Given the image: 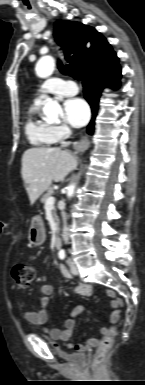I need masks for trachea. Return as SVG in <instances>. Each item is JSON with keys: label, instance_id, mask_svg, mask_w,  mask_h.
Masks as SVG:
<instances>
[{"label": "trachea", "instance_id": "obj_1", "mask_svg": "<svg viewBox=\"0 0 145 385\" xmlns=\"http://www.w3.org/2000/svg\"><path fill=\"white\" fill-rule=\"evenodd\" d=\"M68 74L73 77L74 79L76 80H80V76L78 74V71L73 67V66H70V65H66L65 66Z\"/></svg>", "mask_w": 145, "mask_h": 385}]
</instances>
